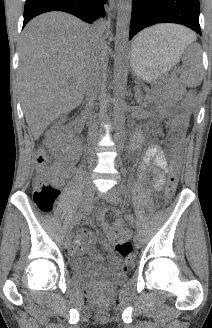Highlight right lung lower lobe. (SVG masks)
Here are the masks:
<instances>
[{
	"label": "right lung lower lobe",
	"mask_w": 212,
	"mask_h": 328,
	"mask_svg": "<svg viewBox=\"0 0 212 328\" xmlns=\"http://www.w3.org/2000/svg\"><path fill=\"white\" fill-rule=\"evenodd\" d=\"M106 0H26L23 27L35 16L49 11H63L92 23L105 15Z\"/></svg>",
	"instance_id": "98d812e1"
}]
</instances>
